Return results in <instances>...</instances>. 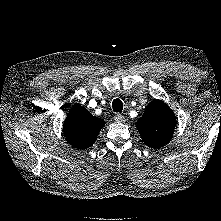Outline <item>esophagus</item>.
<instances>
[{
  "label": "esophagus",
  "instance_id": "esophagus-1",
  "mask_svg": "<svg viewBox=\"0 0 221 221\" xmlns=\"http://www.w3.org/2000/svg\"><path fill=\"white\" fill-rule=\"evenodd\" d=\"M114 120L117 123H123V122H125V117L122 114H116L114 116Z\"/></svg>",
  "mask_w": 221,
  "mask_h": 221
}]
</instances>
